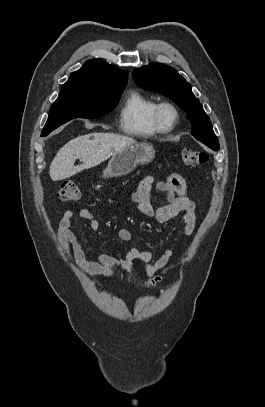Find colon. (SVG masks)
Here are the masks:
<instances>
[{
  "label": "colon",
  "instance_id": "5ec220e1",
  "mask_svg": "<svg viewBox=\"0 0 265 407\" xmlns=\"http://www.w3.org/2000/svg\"><path fill=\"white\" fill-rule=\"evenodd\" d=\"M182 160L186 165L199 166L207 162L208 155L200 150L186 148L182 151ZM58 198L64 202H76L82 198V192L75 182L66 181L58 191Z\"/></svg>",
  "mask_w": 265,
  "mask_h": 407
}]
</instances>
